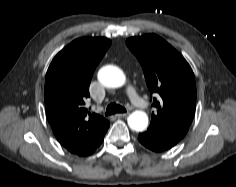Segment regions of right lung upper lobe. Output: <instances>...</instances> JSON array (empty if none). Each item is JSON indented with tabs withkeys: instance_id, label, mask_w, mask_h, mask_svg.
I'll use <instances>...</instances> for the list:
<instances>
[{
	"instance_id": "obj_1",
	"label": "right lung upper lobe",
	"mask_w": 236,
	"mask_h": 187,
	"mask_svg": "<svg viewBox=\"0 0 236 187\" xmlns=\"http://www.w3.org/2000/svg\"><path fill=\"white\" fill-rule=\"evenodd\" d=\"M110 44L102 37L76 39L55 56L46 74L44 99L52 130L62 146L79 156L92 154L110 125L85 108L92 75Z\"/></svg>"
}]
</instances>
